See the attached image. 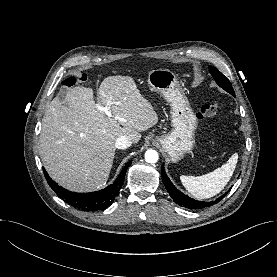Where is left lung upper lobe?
<instances>
[{
	"label": "left lung upper lobe",
	"instance_id": "1",
	"mask_svg": "<svg viewBox=\"0 0 277 277\" xmlns=\"http://www.w3.org/2000/svg\"><path fill=\"white\" fill-rule=\"evenodd\" d=\"M211 75L214 77L217 84L222 87L225 91L229 92L233 96H235L234 90L232 88V85L230 81L213 66L209 67Z\"/></svg>",
	"mask_w": 277,
	"mask_h": 277
}]
</instances>
